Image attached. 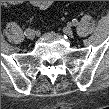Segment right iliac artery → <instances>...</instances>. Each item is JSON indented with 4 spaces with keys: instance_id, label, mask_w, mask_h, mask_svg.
<instances>
[{
    "instance_id": "obj_1",
    "label": "right iliac artery",
    "mask_w": 109,
    "mask_h": 109,
    "mask_svg": "<svg viewBox=\"0 0 109 109\" xmlns=\"http://www.w3.org/2000/svg\"><path fill=\"white\" fill-rule=\"evenodd\" d=\"M29 30H31L30 28H27L26 30H25V34H26V32H28Z\"/></svg>"
}]
</instances>
